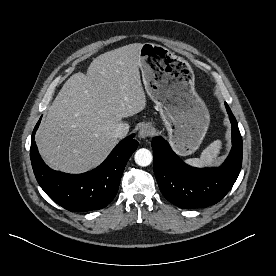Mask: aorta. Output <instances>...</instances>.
I'll return each mask as SVG.
<instances>
[{
    "label": "aorta",
    "mask_w": 276,
    "mask_h": 276,
    "mask_svg": "<svg viewBox=\"0 0 276 276\" xmlns=\"http://www.w3.org/2000/svg\"><path fill=\"white\" fill-rule=\"evenodd\" d=\"M134 159L137 165L146 167L152 162L153 156L148 149L141 148L136 151Z\"/></svg>",
    "instance_id": "762f6f07"
}]
</instances>
